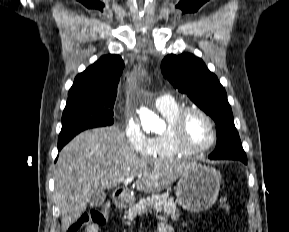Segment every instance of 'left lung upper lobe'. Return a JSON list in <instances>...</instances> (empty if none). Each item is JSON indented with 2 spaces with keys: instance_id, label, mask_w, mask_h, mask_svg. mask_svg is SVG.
<instances>
[{
  "instance_id": "obj_1",
  "label": "left lung upper lobe",
  "mask_w": 289,
  "mask_h": 232,
  "mask_svg": "<svg viewBox=\"0 0 289 232\" xmlns=\"http://www.w3.org/2000/svg\"><path fill=\"white\" fill-rule=\"evenodd\" d=\"M161 71L175 89L214 119L217 145L209 158L246 160L226 91L204 62L190 53L169 54L162 60Z\"/></svg>"
}]
</instances>
